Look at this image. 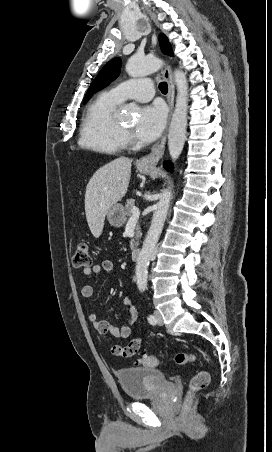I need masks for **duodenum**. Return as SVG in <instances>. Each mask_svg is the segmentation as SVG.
Segmentation results:
<instances>
[{"label": "duodenum", "instance_id": "1", "mask_svg": "<svg viewBox=\"0 0 272 452\" xmlns=\"http://www.w3.org/2000/svg\"><path fill=\"white\" fill-rule=\"evenodd\" d=\"M139 255H140V248L139 247H134L131 250V259L133 261H136L139 258Z\"/></svg>", "mask_w": 272, "mask_h": 452}]
</instances>
